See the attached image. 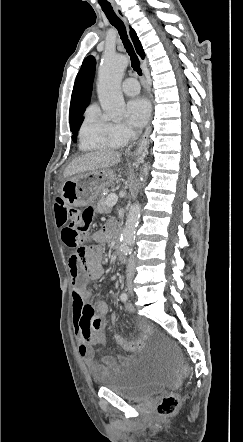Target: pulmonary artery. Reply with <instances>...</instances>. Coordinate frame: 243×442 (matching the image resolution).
Masks as SVG:
<instances>
[{
	"instance_id": "1",
	"label": "pulmonary artery",
	"mask_w": 243,
	"mask_h": 442,
	"mask_svg": "<svg viewBox=\"0 0 243 442\" xmlns=\"http://www.w3.org/2000/svg\"><path fill=\"white\" fill-rule=\"evenodd\" d=\"M122 90L126 95L129 96L137 95L140 90L137 79L134 77L125 79L122 84Z\"/></svg>"
}]
</instances>
